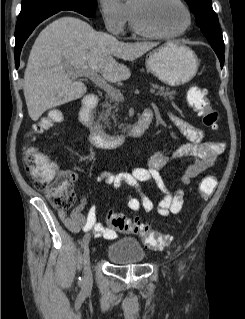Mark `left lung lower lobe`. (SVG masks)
Returning <instances> with one entry per match:
<instances>
[{
  "label": "left lung lower lobe",
  "instance_id": "0a47b994",
  "mask_svg": "<svg viewBox=\"0 0 245 319\" xmlns=\"http://www.w3.org/2000/svg\"><path fill=\"white\" fill-rule=\"evenodd\" d=\"M214 49V51L216 52L219 60H220V64H221V68L223 67L224 65V51L220 50L219 48L217 47H212Z\"/></svg>",
  "mask_w": 245,
  "mask_h": 319
}]
</instances>
